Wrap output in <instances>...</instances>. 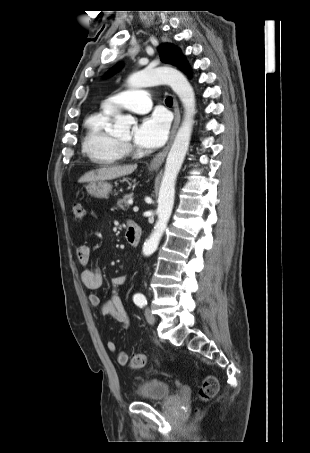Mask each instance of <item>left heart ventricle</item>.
<instances>
[{
	"label": "left heart ventricle",
	"mask_w": 310,
	"mask_h": 453,
	"mask_svg": "<svg viewBox=\"0 0 310 453\" xmlns=\"http://www.w3.org/2000/svg\"><path fill=\"white\" fill-rule=\"evenodd\" d=\"M130 138H131V135L129 134V135H127V136L121 138V140H122V141H129Z\"/></svg>",
	"instance_id": "b2bd125f"
}]
</instances>
